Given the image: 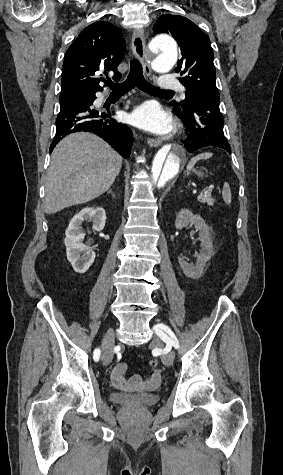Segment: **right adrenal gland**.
Here are the masks:
<instances>
[{
    "mask_svg": "<svg viewBox=\"0 0 283 475\" xmlns=\"http://www.w3.org/2000/svg\"><path fill=\"white\" fill-rule=\"evenodd\" d=\"M107 194H111V196H113V198H115V196L113 194V190H109V192H107Z\"/></svg>",
    "mask_w": 283,
    "mask_h": 475,
    "instance_id": "right-adrenal-gland-1",
    "label": "right adrenal gland"
}]
</instances>
